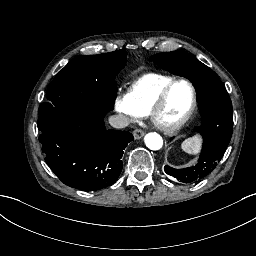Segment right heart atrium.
Segmentation results:
<instances>
[{
	"label": "right heart atrium",
	"instance_id": "obj_1",
	"mask_svg": "<svg viewBox=\"0 0 256 256\" xmlns=\"http://www.w3.org/2000/svg\"><path fill=\"white\" fill-rule=\"evenodd\" d=\"M131 99V93H125L123 95L118 94L115 98L114 110L117 113L126 116L129 120L133 121L135 120V113L131 107Z\"/></svg>",
	"mask_w": 256,
	"mask_h": 256
}]
</instances>
